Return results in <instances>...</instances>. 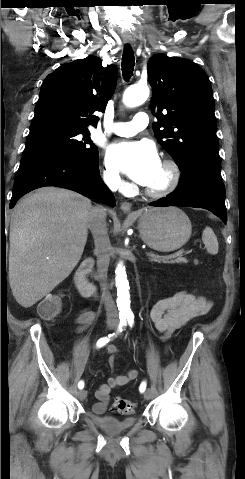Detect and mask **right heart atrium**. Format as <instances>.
<instances>
[{
  "mask_svg": "<svg viewBox=\"0 0 245 479\" xmlns=\"http://www.w3.org/2000/svg\"><path fill=\"white\" fill-rule=\"evenodd\" d=\"M102 180L106 186L114 190L120 189L125 185L119 173L115 169L109 167L104 168L102 172Z\"/></svg>",
  "mask_w": 245,
  "mask_h": 479,
  "instance_id": "1",
  "label": "right heart atrium"
}]
</instances>
